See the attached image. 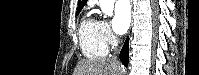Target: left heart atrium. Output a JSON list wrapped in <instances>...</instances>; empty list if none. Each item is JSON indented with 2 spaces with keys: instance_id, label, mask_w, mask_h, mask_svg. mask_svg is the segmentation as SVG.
<instances>
[{
  "instance_id": "39dd6f15",
  "label": "left heart atrium",
  "mask_w": 199,
  "mask_h": 75,
  "mask_svg": "<svg viewBox=\"0 0 199 75\" xmlns=\"http://www.w3.org/2000/svg\"><path fill=\"white\" fill-rule=\"evenodd\" d=\"M131 23V8L128 1H118L114 8L113 28L117 34H124Z\"/></svg>"
}]
</instances>
